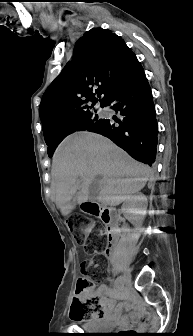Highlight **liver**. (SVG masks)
Instances as JSON below:
<instances>
[{
    "instance_id": "obj_1",
    "label": "liver",
    "mask_w": 193,
    "mask_h": 336,
    "mask_svg": "<svg viewBox=\"0 0 193 336\" xmlns=\"http://www.w3.org/2000/svg\"><path fill=\"white\" fill-rule=\"evenodd\" d=\"M98 175L103 179L97 200L116 206L143 189L152 171L104 136L91 132L69 136L52 162L55 203L63 216L89 199L90 185Z\"/></svg>"
}]
</instances>
